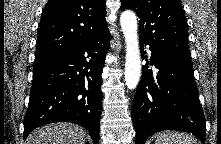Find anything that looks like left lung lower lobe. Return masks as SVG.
<instances>
[{
    "label": "left lung lower lobe",
    "instance_id": "0a47b994",
    "mask_svg": "<svg viewBox=\"0 0 221 144\" xmlns=\"http://www.w3.org/2000/svg\"><path fill=\"white\" fill-rule=\"evenodd\" d=\"M141 51L145 53L143 47ZM150 51V63L157 71L153 73L148 64L143 66L132 104L136 143L144 144L149 135L163 130L193 133L205 143V118L191 58L153 46Z\"/></svg>",
    "mask_w": 221,
    "mask_h": 144
}]
</instances>
